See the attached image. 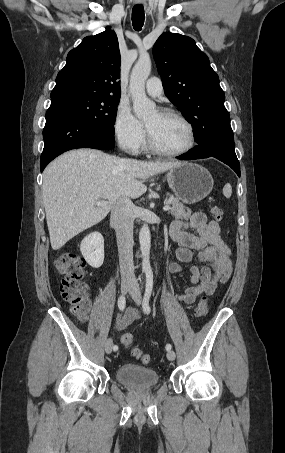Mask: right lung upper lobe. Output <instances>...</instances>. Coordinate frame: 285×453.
Instances as JSON below:
<instances>
[{
  "label": "right lung upper lobe",
  "instance_id": "right-lung-upper-lobe-1",
  "mask_svg": "<svg viewBox=\"0 0 285 453\" xmlns=\"http://www.w3.org/2000/svg\"><path fill=\"white\" fill-rule=\"evenodd\" d=\"M120 62L117 35L109 27L95 36L85 37L68 53L51 100L70 94L120 98Z\"/></svg>",
  "mask_w": 285,
  "mask_h": 453
}]
</instances>
